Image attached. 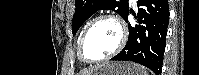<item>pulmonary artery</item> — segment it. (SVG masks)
Listing matches in <instances>:
<instances>
[{"mask_svg": "<svg viewBox=\"0 0 199 75\" xmlns=\"http://www.w3.org/2000/svg\"><path fill=\"white\" fill-rule=\"evenodd\" d=\"M131 2L134 4L136 1L132 0Z\"/></svg>", "mask_w": 199, "mask_h": 75, "instance_id": "obj_1", "label": "pulmonary artery"}]
</instances>
